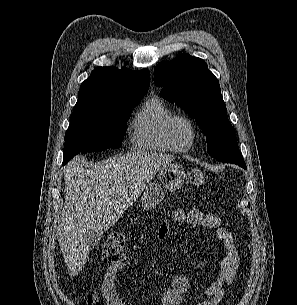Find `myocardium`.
I'll return each mask as SVG.
<instances>
[{
	"label": "myocardium",
	"mask_w": 297,
	"mask_h": 305,
	"mask_svg": "<svg viewBox=\"0 0 297 305\" xmlns=\"http://www.w3.org/2000/svg\"><path fill=\"white\" fill-rule=\"evenodd\" d=\"M178 121L185 122L189 126L190 131H191L190 141L185 146H182L179 144V142L177 141L176 136L174 134V126ZM165 130H166V135H167L169 142L173 145V147L178 152L189 151L193 147V145L197 139L196 124L194 123V121L191 118H189L188 116H185V115L175 114L174 116H172L167 121Z\"/></svg>",
	"instance_id": "1"
}]
</instances>
